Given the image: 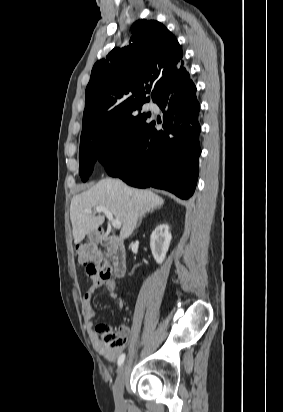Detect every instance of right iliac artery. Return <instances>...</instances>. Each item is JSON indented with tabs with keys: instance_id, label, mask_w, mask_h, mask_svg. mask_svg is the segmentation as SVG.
<instances>
[{
	"instance_id": "obj_1",
	"label": "right iliac artery",
	"mask_w": 283,
	"mask_h": 412,
	"mask_svg": "<svg viewBox=\"0 0 283 412\" xmlns=\"http://www.w3.org/2000/svg\"><path fill=\"white\" fill-rule=\"evenodd\" d=\"M125 360V354H121L120 357L118 358V367H120Z\"/></svg>"
}]
</instances>
